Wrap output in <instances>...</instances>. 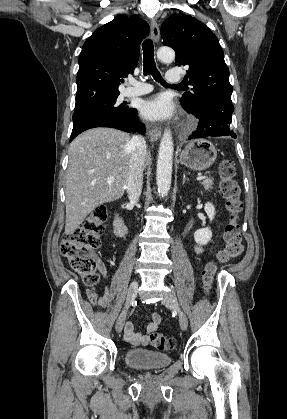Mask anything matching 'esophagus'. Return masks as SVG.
<instances>
[{"label": "esophagus", "mask_w": 287, "mask_h": 419, "mask_svg": "<svg viewBox=\"0 0 287 419\" xmlns=\"http://www.w3.org/2000/svg\"><path fill=\"white\" fill-rule=\"evenodd\" d=\"M150 28H151V36L152 39L155 42H158L159 38H160V31H159V26L157 24V22L155 20H151L150 22ZM149 136L151 138V140L153 142H156L160 139L161 137V129L160 127H150L149 129Z\"/></svg>", "instance_id": "esophagus-1"}]
</instances>
